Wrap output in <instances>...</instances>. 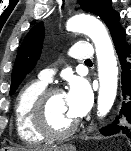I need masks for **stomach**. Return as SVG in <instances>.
<instances>
[{
    "label": "stomach",
    "instance_id": "stomach-1",
    "mask_svg": "<svg viewBox=\"0 0 131 151\" xmlns=\"http://www.w3.org/2000/svg\"><path fill=\"white\" fill-rule=\"evenodd\" d=\"M54 151H76V148L72 145H64L61 147H58L57 150Z\"/></svg>",
    "mask_w": 131,
    "mask_h": 151
}]
</instances>
